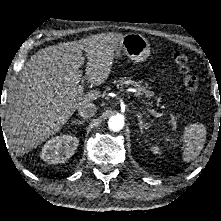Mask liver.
<instances>
[{"instance_id": "1", "label": "liver", "mask_w": 221, "mask_h": 221, "mask_svg": "<svg viewBox=\"0 0 221 221\" xmlns=\"http://www.w3.org/2000/svg\"><path fill=\"white\" fill-rule=\"evenodd\" d=\"M119 33H102L39 50L25 64L8 99L4 121L8 143L17 156L57 133L76 110L97 100L99 91L79 94L82 55L86 78L100 86L106 82L123 39Z\"/></svg>"}]
</instances>
